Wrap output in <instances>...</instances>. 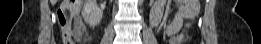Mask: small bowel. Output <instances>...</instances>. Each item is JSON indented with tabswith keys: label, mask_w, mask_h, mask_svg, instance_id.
<instances>
[{
	"label": "small bowel",
	"mask_w": 261,
	"mask_h": 44,
	"mask_svg": "<svg viewBox=\"0 0 261 44\" xmlns=\"http://www.w3.org/2000/svg\"><path fill=\"white\" fill-rule=\"evenodd\" d=\"M162 9V2H158L154 5L151 12L152 24L157 25L159 23ZM198 10L199 3H189L187 1H180L178 12L175 14L170 24L166 27V34L168 36L176 35L182 29L184 19H189L193 21L197 16Z\"/></svg>",
	"instance_id": "small-bowel-1"
}]
</instances>
